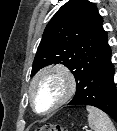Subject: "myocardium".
Here are the masks:
<instances>
[{"instance_id": "f54148a6", "label": "myocardium", "mask_w": 117, "mask_h": 131, "mask_svg": "<svg viewBox=\"0 0 117 131\" xmlns=\"http://www.w3.org/2000/svg\"><path fill=\"white\" fill-rule=\"evenodd\" d=\"M48 75H57L60 78H62L64 82V93L61 96V98L56 102V104L53 105L50 109L46 111H39L37 109L36 102H35L34 90L37 83L42 78ZM75 90H76V80L70 70H68L65 66L60 64L49 65L38 71L36 75L32 78L28 90L29 101L31 107L36 113L45 115V114L52 113L57 109H59L61 106H63L73 96Z\"/></svg>"}]
</instances>
